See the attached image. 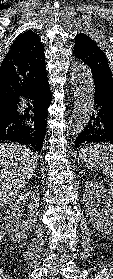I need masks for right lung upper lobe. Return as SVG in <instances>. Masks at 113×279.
Instances as JSON below:
<instances>
[{"mask_svg": "<svg viewBox=\"0 0 113 279\" xmlns=\"http://www.w3.org/2000/svg\"><path fill=\"white\" fill-rule=\"evenodd\" d=\"M46 73L44 46L32 31L21 34L0 66V110L11 108Z\"/></svg>", "mask_w": 113, "mask_h": 279, "instance_id": "obj_1", "label": "right lung upper lobe"}]
</instances>
